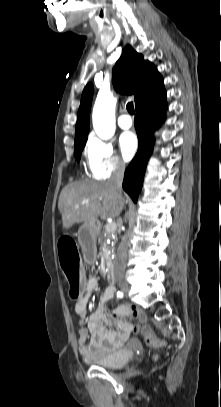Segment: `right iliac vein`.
<instances>
[{"label": "right iliac vein", "instance_id": "63e3f726", "mask_svg": "<svg viewBox=\"0 0 221 407\" xmlns=\"http://www.w3.org/2000/svg\"><path fill=\"white\" fill-rule=\"evenodd\" d=\"M119 286H120L121 291H122L125 295H127L128 292H129L128 284H127L126 282H120V283H119Z\"/></svg>", "mask_w": 221, "mask_h": 407}]
</instances>
